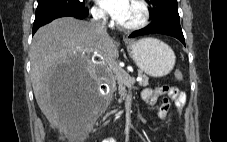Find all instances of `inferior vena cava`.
I'll return each mask as SVG.
<instances>
[{"instance_id":"obj_1","label":"inferior vena cava","mask_w":227,"mask_h":142,"mask_svg":"<svg viewBox=\"0 0 227 142\" xmlns=\"http://www.w3.org/2000/svg\"><path fill=\"white\" fill-rule=\"evenodd\" d=\"M93 18L90 21V25L95 28L98 34L106 35V16L103 11H94Z\"/></svg>"}]
</instances>
